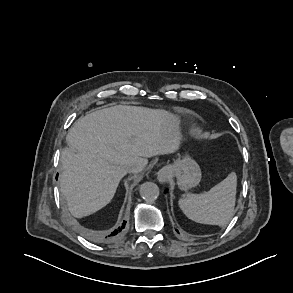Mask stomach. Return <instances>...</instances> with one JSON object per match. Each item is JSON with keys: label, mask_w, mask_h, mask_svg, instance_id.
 <instances>
[{"label": "stomach", "mask_w": 293, "mask_h": 293, "mask_svg": "<svg viewBox=\"0 0 293 293\" xmlns=\"http://www.w3.org/2000/svg\"><path fill=\"white\" fill-rule=\"evenodd\" d=\"M168 168L170 174L176 177L178 187L181 190L195 187L201 180V169L189 154H185L182 158L177 159Z\"/></svg>", "instance_id": "1"}]
</instances>
